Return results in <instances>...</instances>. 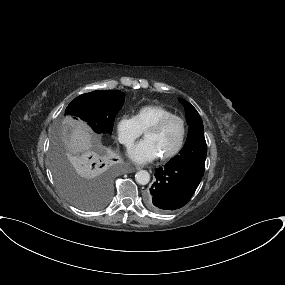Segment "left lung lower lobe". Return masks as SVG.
I'll list each match as a JSON object with an SVG mask.
<instances>
[{"label":"left lung lower lobe","mask_w":285,"mask_h":285,"mask_svg":"<svg viewBox=\"0 0 285 285\" xmlns=\"http://www.w3.org/2000/svg\"><path fill=\"white\" fill-rule=\"evenodd\" d=\"M156 182L147 192L145 202L156 212L166 213L183 207L191 199L202 176L188 169L166 164L155 170Z\"/></svg>","instance_id":"obj_1"}]
</instances>
